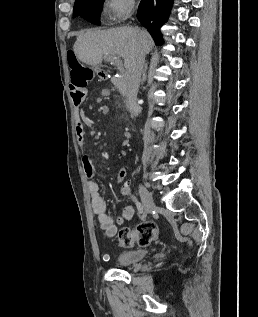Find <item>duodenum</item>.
Returning <instances> with one entry per match:
<instances>
[{"label":"duodenum","mask_w":258,"mask_h":317,"mask_svg":"<svg viewBox=\"0 0 258 317\" xmlns=\"http://www.w3.org/2000/svg\"><path fill=\"white\" fill-rule=\"evenodd\" d=\"M70 92L73 104L79 106L86 98L87 88L79 82L71 81Z\"/></svg>","instance_id":"410a0bca"}]
</instances>
